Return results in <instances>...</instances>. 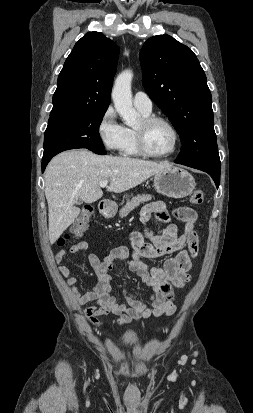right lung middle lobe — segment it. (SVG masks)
Here are the masks:
<instances>
[{"mask_svg":"<svg viewBox=\"0 0 253 413\" xmlns=\"http://www.w3.org/2000/svg\"><path fill=\"white\" fill-rule=\"evenodd\" d=\"M106 110L65 112L50 116L44 135L43 157L75 148H104L99 126Z\"/></svg>","mask_w":253,"mask_h":413,"instance_id":"obj_1","label":"right lung middle lobe"}]
</instances>
